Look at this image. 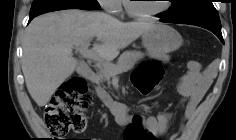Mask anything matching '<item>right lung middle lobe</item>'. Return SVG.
Instances as JSON below:
<instances>
[{
    "instance_id": "right-lung-middle-lobe-1",
    "label": "right lung middle lobe",
    "mask_w": 236,
    "mask_h": 140,
    "mask_svg": "<svg viewBox=\"0 0 236 140\" xmlns=\"http://www.w3.org/2000/svg\"><path fill=\"white\" fill-rule=\"evenodd\" d=\"M99 8L97 0H34L30 16L63 9L97 10Z\"/></svg>"
}]
</instances>
